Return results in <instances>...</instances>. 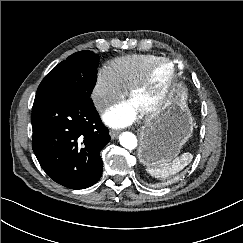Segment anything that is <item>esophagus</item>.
Masks as SVG:
<instances>
[{"instance_id":"esophagus-1","label":"esophagus","mask_w":243,"mask_h":243,"mask_svg":"<svg viewBox=\"0 0 243 243\" xmlns=\"http://www.w3.org/2000/svg\"><path fill=\"white\" fill-rule=\"evenodd\" d=\"M109 134H110L112 139H116L119 135V132L115 131V130H111Z\"/></svg>"}]
</instances>
